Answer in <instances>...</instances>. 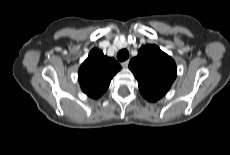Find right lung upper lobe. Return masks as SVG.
Returning <instances> with one entry per match:
<instances>
[{
  "label": "right lung upper lobe",
  "mask_w": 230,
  "mask_h": 155,
  "mask_svg": "<svg viewBox=\"0 0 230 155\" xmlns=\"http://www.w3.org/2000/svg\"><path fill=\"white\" fill-rule=\"evenodd\" d=\"M120 69L114 58L105 56L99 49H92L78 71L82 91L91 98L100 97Z\"/></svg>",
  "instance_id": "right-lung-upper-lobe-1"
}]
</instances>
